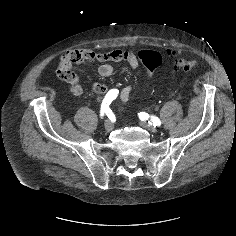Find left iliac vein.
<instances>
[{
    "instance_id": "left-iliac-vein-1",
    "label": "left iliac vein",
    "mask_w": 236,
    "mask_h": 236,
    "mask_svg": "<svg viewBox=\"0 0 236 236\" xmlns=\"http://www.w3.org/2000/svg\"><path fill=\"white\" fill-rule=\"evenodd\" d=\"M140 126L147 129V130H149V131H151V132H153V133L157 132V128L155 126H153L152 124L147 123L145 121H141Z\"/></svg>"
}]
</instances>
